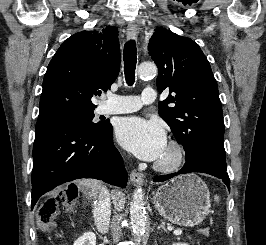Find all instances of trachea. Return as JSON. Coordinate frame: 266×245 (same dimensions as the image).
Masks as SVG:
<instances>
[{
	"label": "trachea",
	"mask_w": 266,
	"mask_h": 245,
	"mask_svg": "<svg viewBox=\"0 0 266 245\" xmlns=\"http://www.w3.org/2000/svg\"><path fill=\"white\" fill-rule=\"evenodd\" d=\"M124 73L128 85H133L135 80V68L137 63L136 44L134 40L126 42L124 47Z\"/></svg>",
	"instance_id": "1"
}]
</instances>
